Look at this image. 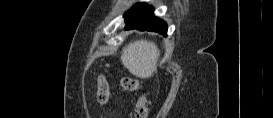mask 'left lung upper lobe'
I'll list each match as a JSON object with an SVG mask.
<instances>
[{
	"label": "left lung upper lobe",
	"instance_id": "obj_1",
	"mask_svg": "<svg viewBox=\"0 0 273 118\" xmlns=\"http://www.w3.org/2000/svg\"><path fill=\"white\" fill-rule=\"evenodd\" d=\"M154 16L152 7L146 3H137L125 15L126 23L143 22Z\"/></svg>",
	"mask_w": 273,
	"mask_h": 118
}]
</instances>
